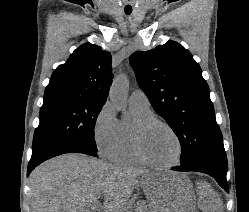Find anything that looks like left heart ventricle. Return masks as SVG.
Returning a JSON list of instances; mask_svg holds the SVG:
<instances>
[{"label": "left heart ventricle", "instance_id": "1", "mask_svg": "<svg viewBox=\"0 0 249 212\" xmlns=\"http://www.w3.org/2000/svg\"><path fill=\"white\" fill-rule=\"evenodd\" d=\"M143 148L152 161L162 164L176 161L179 154L175 137L161 126H154L145 132Z\"/></svg>", "mask_w": 249, "mask_h": 212}]
</instances>
